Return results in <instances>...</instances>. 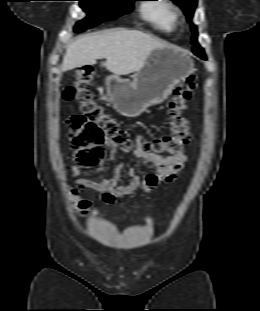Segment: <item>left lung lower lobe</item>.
Here are the masks:
<instances>
[{
  "instance_id": "obj_1",
  "label": "left lung lower lobe",
  "mask_w": 260,
  "mask_h": 311,
  "mask_svg": "<svg viewBox=\"0 0 260 311\" xmlns=\"http://www.w3.org/2000/svg\"><path fill=\"white\" fill-rule=\"evenodd\" d=\"M194 54H196L198 57H200L201 59H206L205 55H201V54H197L194 52Z\"/></svg>"
}]
</instances>
